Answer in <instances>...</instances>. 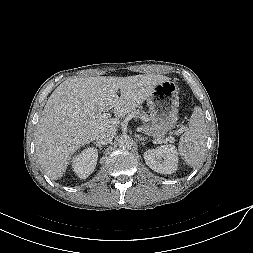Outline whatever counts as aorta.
<instances>
[{
    "mask_svg": "<svg viewBox=\"0 0 253 253\" xmlns=\"http://www.w3.org/2000/svg\"><path fill=\"white\" fill-rule=\"evenodd\" d=\"M118 146L121 149H130L132 147V139L129 136H121L118 139Z\"/></svg>",
    "mask_w": 253,
    "mask_h": 253,
    "instance_id": "1",
    "label": "aorta"
}]
</instances>
